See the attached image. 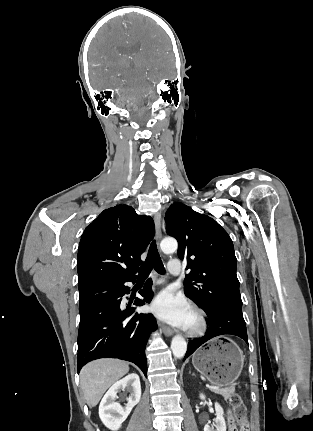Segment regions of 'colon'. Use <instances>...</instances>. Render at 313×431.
Wrapping results in <instances>:
<instances>
[{"label":"colon","mask_w":313,"mask_h":431,"mask_svg":"<svg viewBox=\"0 0 313 431\" xmlns=\"http://www.w3.org/2000/svg\"><path fill=\"white\" fill-rule=\"evenodd\" d=\"M232 414L230 416V431H248L247 407L238 394L230 397Z\"/></svg>","instance_id":"1"}]
</instances>
